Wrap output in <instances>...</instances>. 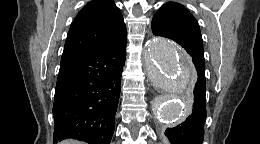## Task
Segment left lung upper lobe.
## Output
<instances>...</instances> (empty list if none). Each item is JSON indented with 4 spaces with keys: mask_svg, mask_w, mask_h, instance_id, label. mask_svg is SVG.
Here are the masks:
<instances>
[{
    "mask_svg": "<svg viewBox=\"0 0 260 144\" xmlns=\"http://www.w3.org/2000/svg\"><path fill=\"white\" fill-rule=\"evenodd\" d=\"M151 28L153 34L172 39L183 48L191 47L203 52L199 24L181 4L175 2L163 4L154 15ZM194 65L197 74L198 72L205 74L204 57Z\"/></svg>",
    "mask_w": 260,
    "mask_h": 144,
    "instance_id": "5c2ea615",
    "label": "left lung upper lobe"
}]
</instances>
